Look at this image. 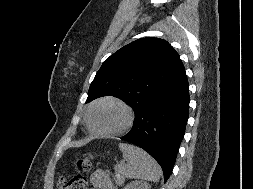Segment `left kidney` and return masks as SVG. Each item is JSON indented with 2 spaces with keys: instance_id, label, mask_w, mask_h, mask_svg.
Segmentation results:
<instances>
[{
  "instance_id": "obj_1",
  "label": "left kidney",
  "mask_w": 253,
  "mask_h": 189,
  "mask_svg": "<svg viewBox=\"0 0 253 189\" xmlns=\"http://www.w3.org/2000/svg\"><path fill=\"white\" fill-rule=\"evenodd\" d=\"M123 189H150V186L143 181H133L127 184Z\"/></svg>"
}]
</instances>
